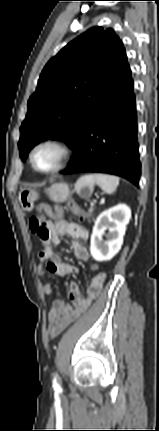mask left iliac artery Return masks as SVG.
I'll list each match as a JSON object with an SVG mask.
<instances>
[{"instance_id":"44dca946","label":"left iliac artery","mask_w":159,"mask_h":431,"mask_svg":"<svg viewBox=\"0 0 159 431\" xmlns=\"http://www.w3.org/2000/svg\"><path fill=\"white\" fill-rule=\"evenodd\" d=\"M53 386H54V388H59V385L56 381V378L53 380Z\"/></svg>"}]
</instances>
